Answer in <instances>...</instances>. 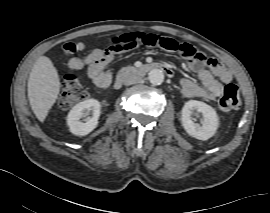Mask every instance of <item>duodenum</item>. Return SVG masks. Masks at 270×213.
<instances>
[{
	"instance_id": "obj_1",
	"label": "duodenum",
	"mask_w": 270,
	"mask_h": 213,
	"mask_svg": "<svg viewBox=\"0 0 270 213\" xmlns=\"http://www.w3.org/2000/svg\"><path fill=\"white\" fill-rule=\"evenodd\" d=\"M152 69H159L160 71L165 73L167 76L173 75V72L170 70L168 64H166L164 62H154V63H150V64H145V65L141 66L140 68H138L135 71V73L137 75H142V74L149 72ZM130 74H131V72L129 70L121 71V73L119 74V78L115 82V87H119L122 83V79Z\"/></svg>"
}]
</instances>
